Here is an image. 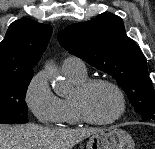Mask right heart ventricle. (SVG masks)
<instances>
[{
  "label": "right heart ventricle",
  "mask_w": 155,
  "mask_h": 149,
  "mask_svg": "<svg viewBox=\"0 0 155 149\" xmlns=\"http://www.w3.org/2000/svg\"><path fill=\"white\" fill-rule=\"evenodd\" d=\"M72 81L78 85L88 79L87 73H66ZM61 118L60 123L65 125H76L81 122L72 102V97H65L60 99Z\"/></svg>",
  "instance_id": "e07e8e85"
}]
</instances>
